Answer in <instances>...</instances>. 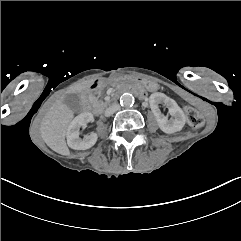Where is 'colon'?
<instances>
[{
  "label": "colon",
  "instance_id": "colon-1",
  "mask_svg": "<svg viewBox=\"0 0 241 241\" xmlns=\"http://www.w3.org/2000/svg\"><path fill=\"white\" fill-rule=\"evenodd\" d=\"M184 112L189 124L193 127H198L203 124V118L193 106H185Z\"/></svg>",
  "mask_w": 241,
  "mask_h": 241
}]
</instances>
